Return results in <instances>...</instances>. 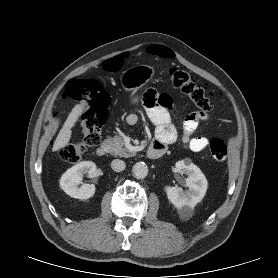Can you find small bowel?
Listing matches in <instances>:
<instances>
[{"label":"small bowel","instance_id":"small-bowel-1","mask_svg":"<svg viewBox=\"0 0 278 278\" xmlns=\"http://www.w3.org/2000/svg\"><path fill=\"white\" fill-rule=\"evenodd\" d=\"M141 101L147 111L148 117L155 126V141L165 147L174 143L178 138V131L171 122L169 109L172 99L167 94H159L154 89H149L140 100L138 97L132 99L133 103ZM210 119V115L205 111H195L190 113L183 122L182 143L193 152H200L207 148L209 140L203 136H193L200 122ZM126 121L129 125L138 122V116L131 113Z\"/></svg>","mask_w":278,"mask_h":278}]
</instances>
